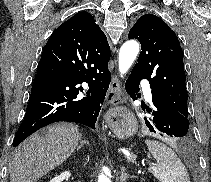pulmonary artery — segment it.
Returning a JSON list of instances; mask_svg holds the SVG:
<instances>
[{
  "instance_id": "1",
  "label": "pulmonary artery",
  "mask_w": 211,
  "mask_h": 182,
  "mask_svg": "<svg viewBox=\"0 0 211 182\" xmlns=\"http://www.w3.org/2000/svg\"><path fill=\"white\" fill-rule=\"evenodd\" d=\"M144 93H145L146 99L148 101H152V93H151V89L148 85H145Z\"/></svg>"
}]
</instances>
